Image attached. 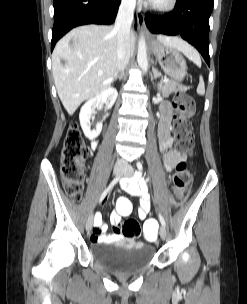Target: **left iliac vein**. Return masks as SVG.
I'll return each mask as SVG.
<instances>
[{
  "instance_id": "obj_1",
  "label": "left iliac vein",
  "mask_w": 247,
  "mask_h": 304,
  "mask_svg": "<svg viewBox=\"0 0 247 304\" xmlns=\"http://www.w3.org/2000/svg\"><path fill=\"white\" fill-rule=\"evenodd\" d=\"M133 168L130 164H126L124 169H123V175L124 177H131L133 175ZM160 237L165 240L166 237H167V231H166V228L164 226H161L160 227Z\"/></svg>"
}]
</instances>
